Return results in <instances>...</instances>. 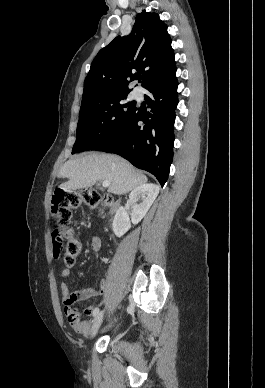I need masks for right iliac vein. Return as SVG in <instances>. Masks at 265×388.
Returning <instances> with one entry per match:
<instances>
[{
    "mask_svg": "<svg viewBox=\"0 0 265 388\" xmlns=\"http://www.w3.org/2000/svg\"><path fill=\"white\" fill-rule=\"evenodd\" d=\"M103 316H104V311H101L94 319L92 329H91V336L92 337H94L96 335V333L98 332L99 327L101 326V323L103 320Z\"/></svg>",
    "mask_w": 265,
    "mask_h": 388,
    "instance_id": "63e3f726",
    "label": "right iliac vein"
}]
</instances>
